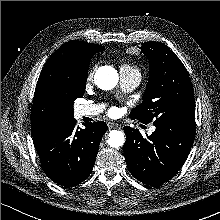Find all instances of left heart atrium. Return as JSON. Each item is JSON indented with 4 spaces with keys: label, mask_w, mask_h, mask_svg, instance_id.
<instances>
[{
    "label": "left heart atrium",
    "mask_w": 220,
    "mask_h": 220,
    "mask_svg": "<svg viewBox=\"0 0 220 220\" xmlns=\"http://www.w3.org/2000/svg\"><path fill=\"white\" fill-rule=\"evenodd\" d=\"M116 112V108H111L110 110H109V113L110 114H114Z\"/></svg>",
    "instance_id": "left-heart-atrium-1"
}]
</instances>
